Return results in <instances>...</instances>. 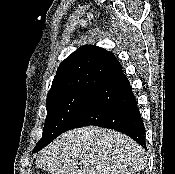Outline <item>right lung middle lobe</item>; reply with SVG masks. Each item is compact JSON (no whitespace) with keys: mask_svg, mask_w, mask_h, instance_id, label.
<instances>
[{"mask_svg":"<svg viewBox=\"0 0 175 174\" xmlns=\"http://www.w3.org/2000/svg\"><path fill=\"white\" fill-rule=\"evenodd\" d=\"M91 90L72 91L47 98V117L41 140L35 149L43 148L66 128L89 95ZM34 149V150H35Z\"/></svg>","mask_w":175,"mask_h":174,"instance_id":"obj_1","label":"right lung middle lobe"}]
</instances>
